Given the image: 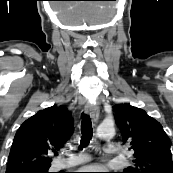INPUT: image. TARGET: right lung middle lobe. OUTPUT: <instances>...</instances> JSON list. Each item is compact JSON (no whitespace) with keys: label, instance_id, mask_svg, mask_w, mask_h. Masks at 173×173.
I'll use <instances>...</instances> for the list:
<instances>
[{"label":"right lung middle lobe","instance_id":"dd1d6c3e","mask_svg":"<svg viewBox=\"0 0 173 173\" xmlns=\"http://www.w3.org/2000/svg\"><path fill=\"white\" fill-rule=\"evenodd\" d=\"M33 173H49L48 168L47 169H42V170H37V171H32Z\"/></svg>","mask_w":173,"mask_h":173}]
</instances>
